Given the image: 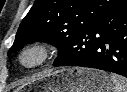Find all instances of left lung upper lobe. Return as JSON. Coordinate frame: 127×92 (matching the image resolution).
<instances>
[{
	"label": "left lung upper lobe",
	"instance_id": "obj_1",
	"mask_svg": "<svg viewBox=\"0 0 127 92\" xmlns=\"http://www.w3.org/2000/svg\"><path fill=\"white\" fill-rule=\"evenodd\" d=\"M124 0H36L22 20L8 55L25 45L44 41L65 54L77 35ZM57 57V58H58Z\"/></svg>",
	"mask_w": 127,
	"mask_h": 92
}]
</instances>
